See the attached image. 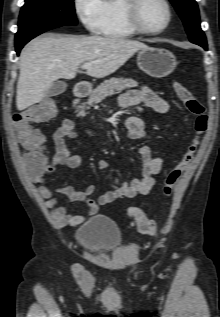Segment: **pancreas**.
<instances>
[{"instance_id": "cf45deb5", "label": "pancreas", "mask_w": 220, "mask_h": 317, "mask_svg": "<svg viewBox=\"0 0 220 317\" xmlns=\"http://www.w3.org/2000/svg\"><path fill=\"white\" fill-rule=\"evenodd\" d=\"M137 82L133 79H123V78H110L101 83L94 91L91 93L87 102L78 106V116H85V109H88L94 104L100 103L106 97L118 94L125 89H129L137 86Z\"/></svg>"}]
</instances>
